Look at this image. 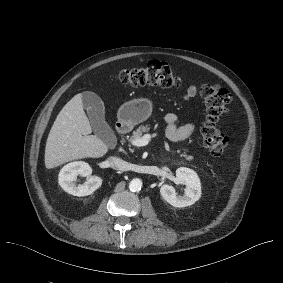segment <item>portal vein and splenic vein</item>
<instances>
[{
  "label": "portal vein and splenic vein",
  "instance_id": "1",
  "mask_svg": "<svg viewBox=\"0 0 283 283\" xmlns=\"http://www.w3.org/2000/svg\"><path fill=\"white\" fill-rule=\"evenodd\" d=\"M150 136L145 134L139 138H133L129 141L131 146L134 147H143L149 144Z\"/></svg>",
  "mask_w": 283,
  "mask_h": 283
}]
</instances>
